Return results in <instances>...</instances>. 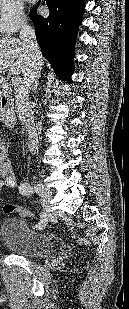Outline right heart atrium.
Returning a JSON list of instances; mask_svg holds the SVG:
<instances>
[{"label": "right heart atrium", "instance_id": "1", "mask_svg": "<svg viewBox=\"0 0 129 309\" xmlns=\"http://www.w3.org/2000/svg\"><path fill=\"white\" fill-rule=\"evenodd\" d=\"M26 27L22 0H0V34L12 36Z\"/></svg>", "mask_w": 129, "mask_h": 309}]
</instances>
